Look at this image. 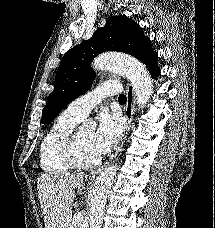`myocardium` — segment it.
<instances>
[{"mask_svg": "<svg viewBox=\"0 0 215 228\" xmlns=\"http://www.w3.org/2000/svg\"><path fill=\"white\" fill-rule=\"evenodd\" d=\"M79 128H74L61 142V153L66 161L74 168L93 169L100 165L101 158L94 161H84L78 153Z\"/></svg>", "mask_w": 215, "mask_h": 228, "instance_id": "myocardium-1", "label": "myocardium"}]
</instances>
